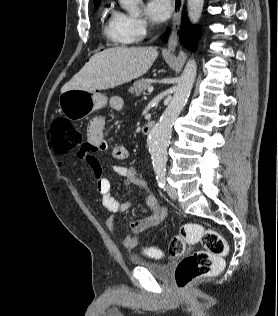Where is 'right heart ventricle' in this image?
Segmentation results:
<instances>
[{
    "label": "right heart ventricle",
    "instance_id": "e07e8e85",
    "mask_svg": "<svg viewBox=\"0 0 278 316\" xmlns=\"http://www.w3.org/2000/svg\"><path fill=\"white\" fill-rule=\"evenodd\" d=\"M103 34L108 41L116 45H124L130 43L122 34L117 19L116 12L109 8L104 10L102 18Z\"/></svg>",
    "mask_w": 278,
    "mask_h": 316
}]
</instances>
